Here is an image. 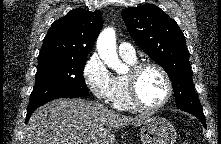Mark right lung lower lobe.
<instances>
[{"instance_id": "1", "label": "right lung lower lobe", "mask_w": 221, "mask_h": 144, "mask_svg": "<svg viewBox=\"0 0 221 144\" xmlns=\"http://www.w3.org/2000/svg\"><path fill=\"white\" fill-rule=\"evenodd\" d=\"M83 96H86L84 94H80V93H75V92H66V93H61V94H57V95H54L52 96L51 98H49L48 100H46L45 102H43L41 105L51 101V100H54V99H58V98H76V97H83ZM41 105L35 107V108H32V109H28L27 110V116H26V123L27 121L29 120L30 116L32 115V113L38 108L40 107Z\"/></svg>"}]
</instances>
